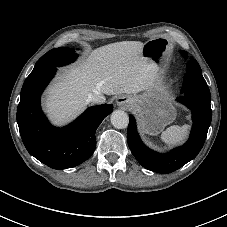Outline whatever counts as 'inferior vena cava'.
I'll return each mask as SVG.
<instances>
[{
	"mask_svg": "<svg viewBox=\"0 0 227 227\" xmlns=\"http://www.w3.org/2000/svg\"><path fill=\"white\" fill-rule=\"evenodd\" d=\"M105 97L100 93V92H93L90 93L87 97L88 102L96 103V104H101L105 102Z\"/></svg>",
	"mask_w": 227,
	"mask_h": 227,
	"instance_id": "602c4592",
	"label": "inferior vena cava"
}]
</instances>
